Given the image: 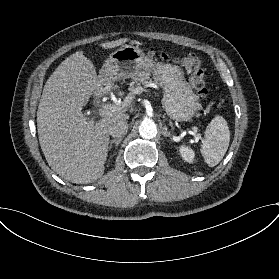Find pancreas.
I'll return each instance as SVG.
<instances>
[{
    "instance_id": "cf45deb5",
    "label": "pancreas",
    "mask_w": 279,
    "mask_h": 279,
    "mask_svg": "<svg viewBox=\"0 0 279 279\" xmlns=\"http://www.w3.org/2000/svg\"><path fill=\"white\" fill-rule=\"evenodd\" d=\"M150 72L147 71H141L138 73L137 77H133V81L131 83H129V90L132 92L135 88V84L136 83H140V82H146L148 80H150ZM155 82H157V80H155ZM130 104H128L127 106H129Z\"/></svg>"
}]
</instances>
